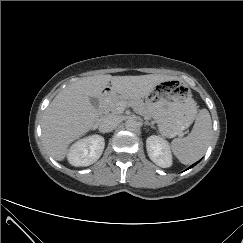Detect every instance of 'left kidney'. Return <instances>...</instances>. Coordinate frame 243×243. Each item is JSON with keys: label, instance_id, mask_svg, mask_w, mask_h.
I'll return each instance as SVG.
<instances>
[{"label": "left kidney", "instance_id": "1", "mask_svg": "<svg viewBox=\"0 0 243 243\" xmlns=\"http://www.w3.org/2000/svg\"><path fill=\"white\" fill-rule=\"evenodd\" d=\"M149 158L158 166L167 168L172 165V155L169 144L159 136H150L146 140Z\"/></svg>", "mask_w": 243, "mask_h": 243}]
</instances>
